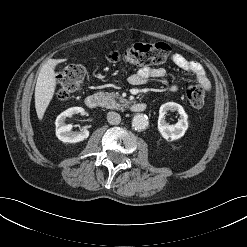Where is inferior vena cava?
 I'll return each mask as SVG.
<instances>
[{
	"instance_id": "602c4592",
	"label": "inferior vena cava",
	"mask_w": 247,
	"mask_h": 247,
	"mask_svg": "<svg viewBox=\"0 0 247 247\" xmlns=\"http://www.w3.org/2000/svg\"><path fill=\"white\" fill-rule=\"evenodd\" d=\"M107 120L112 125H117L121 121V117L117 112L110 111L107 113Z\"/></svg>"
}]
</instances>
